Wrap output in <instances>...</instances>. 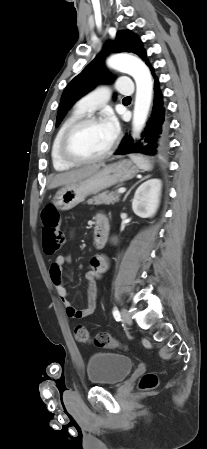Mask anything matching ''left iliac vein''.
Listing matches in <instances>:
<instances>
[{
    "mask_svg": "<svg viewBox=\"0 0 207 449\" xmlns=\"http://www.w3.org/2000/svg\"><path fill=\"white\" fill-rule=\"evenodd\" d=\"M121 316H122V319H123L127 324H131V323H132L131 315H130V313L128 312L127 309L123 308V309L121 310Z\"/></svg>",
    "mask_w": 207,
    "mask_h": 449,
    "instance_id": "4c4485c4",
    "label": "left iliac vein"
}]
</instances>
